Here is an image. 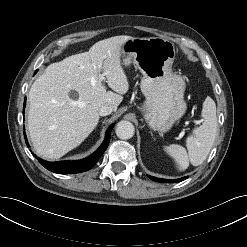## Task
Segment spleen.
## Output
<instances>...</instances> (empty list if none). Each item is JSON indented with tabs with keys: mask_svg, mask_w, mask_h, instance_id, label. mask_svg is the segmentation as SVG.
Masks as SVG:
<instances>
[{
	"mask_svg": "<svg viewBox=\"0 0 247 247\" xmlns=\"http://www.w3.org/2000/svg\"><path fill=\"white\" fill-rule=\"evenodd\" d=\"M202 125L193 130V134L186 139L187 150L178 144L165 146L164 150L176 162L179 170H185L189 163L198 166L208 156L215 137L217 135L216 104L214 100L207 97L203 102Z\"/></svg>",
	"mask_w": 247,
	"mask_h": 247,
	"instance_id": "1",
	"label": "spleen"
}]
</instances>
